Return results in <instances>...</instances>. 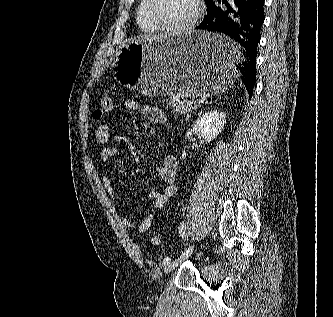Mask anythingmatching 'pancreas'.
Masks as SVG:
<instances>
[{"label":"pancreas","mask_w":333,"mask_h":317,"mask_svg":"<svg viewBox=\"0 0 333 317\" xmlns=\"http://www.w3.org/2000/svg\"><path fill=\"white\" fill-rule=\"evenodd\" d=\"M167 104L174 108V111L178 114H187L197 108V105L191 104L190 100L184 99L183 97L170 96L166 100Z\"/></svg>","instance_id":"cf45deb5"}]
</instances>
